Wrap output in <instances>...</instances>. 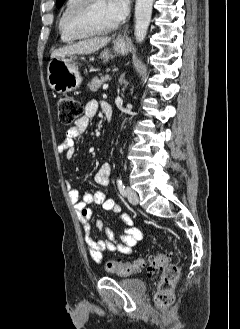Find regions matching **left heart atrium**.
I'll return each instance as SVG.
<instances>
[{"mask_svg":"<svg viewBox=\"0 0 240 329\" xmlns=\"http://www.w3.org/2000/svg\"><path fill=\"white\" fill-rule=\"evenodd\" d=\"M108 10L112 18L119 22L123 20L129 11V0H107Z\"/></svg>","mask_w":240,"mask_h":329,"instance_id":"left-heart-atrium-1","label":"left heart atrium"}]
</instances>
